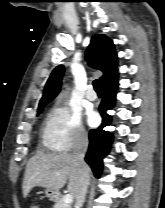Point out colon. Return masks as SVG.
Instances as JSON below:
<instances>
[{
	"label": "colon",
	"mask_w": 165,
	"mask_h": 208,
	"mask_svg": "<svg viewBox=\"0 0 165 208\" xmlns=\"http://www.w3.org/2000/svg\"><path fill=\"white\" fill-rule=\"evenodd\" d=\"M30 208H41V207L38 203L34 202L30 205Z\"/></svg>",
	"instance_id": "colon-1"
}]
</instances>
